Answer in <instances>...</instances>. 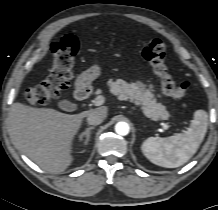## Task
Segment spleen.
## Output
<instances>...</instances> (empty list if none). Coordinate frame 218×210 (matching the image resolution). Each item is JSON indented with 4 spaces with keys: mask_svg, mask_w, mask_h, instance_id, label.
<instances>
[{
    "mask_svg": "<svg viewBox=\"0 0 218 210\" xmlns=\"http://www.w3.org/2000/svg\"><path fill=\"white\" fill-rule=\"evenodd\" d=\"M207 125L206 111L196 110L187 131L167 138L149 137L141 146L142 152L153 164L165 168L179 167L197 152Z\"/></svg>",
    "mask_w": 218,
    "mask_h": 210,
    "instance_id": "spleen-1",
    "label": "spleen"
}]
</instances>
